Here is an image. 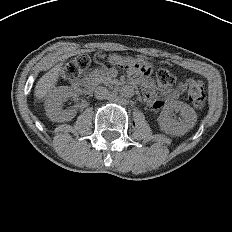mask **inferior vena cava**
<instances>
[{"mask_svg":"<svg viewBox=\"0 0 232 232\" xmlns=\"http://www.w3.org/2000/svg\"><path fill=\"white\" fill-rule=\"evenodd\" d=\"M94 96L97 98V99H107L109 98L110 96V92L109 90L106 88V87H103V86H98L96 89H95V92H94Z\"/></svg>","mask_w":232,"mask_h":232,"instance_id":"inferior-vena-cava-1","label":"inferior vena cava"}]
</instances>
